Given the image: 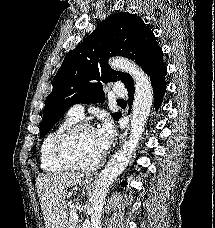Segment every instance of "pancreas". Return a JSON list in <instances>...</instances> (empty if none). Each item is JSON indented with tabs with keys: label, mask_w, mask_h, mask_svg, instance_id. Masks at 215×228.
I'll use <instances>...</instances> for the list:
<instances>
[{
	"label": "pancreas",
	"mask_w": 215,
	"mask_h": 228,
	"mask_svg": "<svg viewBox=\"0 0 215 228\" xmlns=\"http://www.w3.org/2000/svg\"><path fill=\"white\" fill-rule=\"evenodd\" d=\"M67 228H78L77 222L75 220H72L71 216H69V222Z\"/></svg>",
	"instance_id": "pancreas-1"
}]
</instances>
